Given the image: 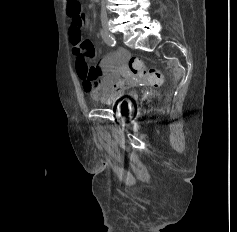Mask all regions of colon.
<instances>
[{
	"label": "colon",
	"instance_id": "5ec220e1",
	"mask_svg": "<svg viewBox=\"0 0 237 232\" xmlns=\"http://www.w3.org/2000/svg\"><path fill=\"white\" fill-rule=\"evenodd\" d=\"M67 10L72 20L82 21V8L79 0H69ZM128 68L132 74L141 77L152 85H159L162 82L160 71L155 68H147L139 58H131L128 62Z\"/></svg>",
	"mask_w": 237,
	"mask_h": 232
}]
</instances>
